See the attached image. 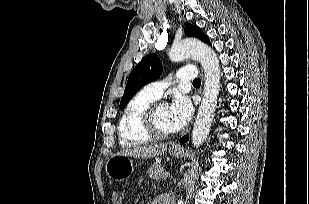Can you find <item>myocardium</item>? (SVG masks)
Masks as SVG:
<instances>
[{
  "mask_svg": "<svg viewBox=\"0 0 309 204\" xmlns=\"http://www.w3.org/2000/svg\"><path fill=\"white\" fill-rule=\"evenodd\" d=\"M163 105L167 104L164 101H153L143 110L140 117V125L142 130L152 139H164L175 134V130L166 132L157 127L155 120L156 113L157 110Z\"/></svg>",
  "mask_w": 309,
  "mask_h": 204,
  "instance_id": "f54148a6",
  "label": "myocardium"
}]
</instances>
